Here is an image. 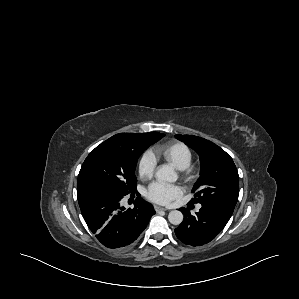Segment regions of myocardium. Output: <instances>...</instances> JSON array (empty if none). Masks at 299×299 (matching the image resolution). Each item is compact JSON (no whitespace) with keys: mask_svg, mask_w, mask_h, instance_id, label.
<instances>
[{"mask_svg":"<svg viewBox=\"0 0 299 299\" xmlns=\"http://www.w3.org/2000/svg\"><path fill=\"white\" fill-rule=\"evenodd\" d=\"M182 171V176L184 177V179L186 181H192L194 180L195 176H196V170L194 167H192L191 165H189L188 167H186L185 169L181 170Z\"/></svg>","mask_w":299,"mask_h":299,"instance_id":"f54148a6","label":"myocardium"}]
</instances>
